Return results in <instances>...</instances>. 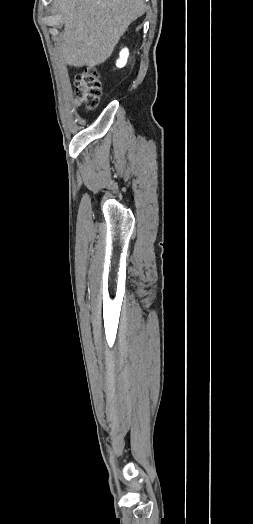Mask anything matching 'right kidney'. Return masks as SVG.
Here are the masks:
<instances>
[{
  "instance_id": "1",
  "label": "right kidney",
  "mask_w": 253,
  "mask_h": 524,
  "mask_svg": "<svg viewBox=\"0 0 253 524\" xmlns=\"http://www.w3.org/2000/svg\"><path fill=\"white\" fill-rule=\"evenodd\" d=\"M128 55H129L128 49H123L120 52V58L117 61V66L118 67H123L126 64Z\"/></svg>"
}]
</instances>
